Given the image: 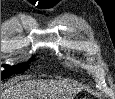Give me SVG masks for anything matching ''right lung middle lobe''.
I'll list each match as a JSON object with an SVG mask.
<instances>
[{"label":"right lung middle lobe","mask_w":115,"mask_h":99,"mask_svg":"<svg viewBox=\"0 0 115 99\" xmlns=\"http://www.w3.org/2000/svg\"><path fill=\"white\" fill-rule=\"evenodd\" d=\"M33 60L34 57H32L29 62L18 66L2 65L5 68V71L2 73L1 78L27 70L29 68V63H31Z\"/></svg>","instance_id":"right-lung-middle-lobe-1"}]
</instances>
